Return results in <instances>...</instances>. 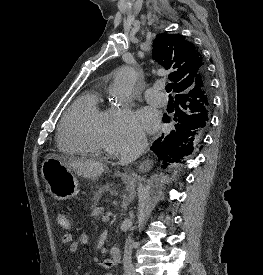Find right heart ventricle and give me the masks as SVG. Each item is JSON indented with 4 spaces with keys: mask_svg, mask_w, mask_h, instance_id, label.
<instances>
[{
    "mask_svg": "<svg viewBox=\"0 0 263 275\" xmlns=\"http://www.w3.org/2000/svg\"><path fill=\"white\" fill-rule=\"evenodd\" d=\"M110 110L101 106L98 91L79 96L65 112L58 131V146L72 155H97L105 149V127Z\"/></svg>",
    "mask_w": 263,
    "mask_h": 275,
    "instance_id": "1",
    "label": "right heart ventricle"
}]
</instances>
